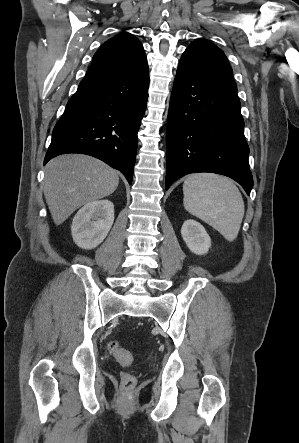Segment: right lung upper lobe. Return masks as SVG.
<instances>
[{"mask_svg":"<svg viewBox=\"0 0 299 443\" xmlns=\"http://www.w3.org/2000/svg\"><path fill=\"white\" fill-rule=\"evenodd\" d=\"M147 72V58L141 42L122 32L107 40L95 53L85 79L139 76Z\"/></svg>","mask_w":299,"mask_h":443,"instance_id":"1","label":"right lung upper lobe"}]
</instances>
